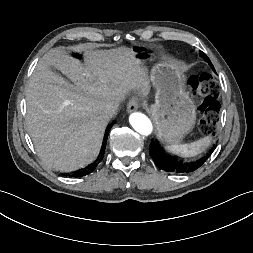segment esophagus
<instances>
[{"label": "esophagus", "mask_w": 253, "mask_h": 253, "mask_svg": "<svg viewBox=\"0 0 253 253\" xmlns=\"http://www.w3.org/2000/svg\"><path fill=\"white\" fill-rule=\"evenodd\" d=\"M138 107H139L138 99L135 97H132L127 103V110L130 113L136 111Z\"/></svg>", "instance_id": "esophagus-1"}]
</instances>
